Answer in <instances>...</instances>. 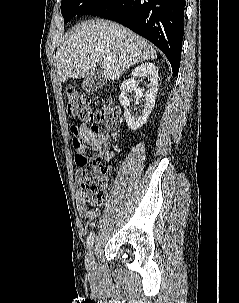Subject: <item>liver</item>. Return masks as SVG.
I'll use <instances>...</instances> for the list:
<instances>
[{
	"label": "liver",
	"instance_id": "obj_1",
	"mask_svg": "<svg viewBox=\"0 0 239 303\" xmlns=\"http://www.w3.org/2000/svg\"><path fill=\"white\" fill-rule=\"evenodd\" d=\"M156 57V50L141 36L120 24L95 19L71 29L57 50L56 65L61 83L90 76L97 65L105 79L114 81L132 65ZM106 58L109 64L103 62Z\"/></svg>",
	"mask_w": 239,
	"mask_h": 303
}]
</instances>
